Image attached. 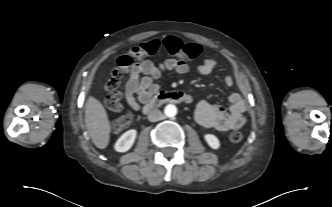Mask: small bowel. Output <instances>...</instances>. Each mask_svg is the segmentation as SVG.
Here are the masks:
<instances>
[{
	"label": "small bowel",
	"instance_id": "1",
	"mask_svg": "<svg viewBox=\"0 0 332 207\" xmlns=\"http://www.w3.org/2000/svg\"><path fill=\"white\" fill-rule=\"evenodd\" d=\"M218 66V61L214 57H205L197 66V71L201 75L210 74ZM164 71H171L176 74H186L189 66L181 60L169 58L163 63L155 65L150 60H141L133 63L129 69V77L125 86V97L128 105L133 110H138L141 105L159 91L160 79ZM235 79L232 75L224 77V83L232 86ZM231 103L228 110L218 105L212 104L204 99L196 104V121L207 128L219 131H229L241 128L246 123V104L240 93L234 92L229 96Z\"/></svg>",
	"mask_w": 332,
	"mask_h": 207
}]
</instances>
